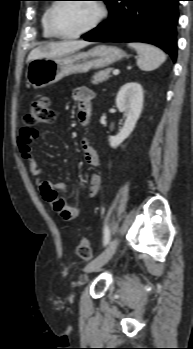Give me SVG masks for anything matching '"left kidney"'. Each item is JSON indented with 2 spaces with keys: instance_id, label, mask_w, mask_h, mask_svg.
Here are the masks:
<instances>
[{
  "instance_id": "obj_1",
  "label": "left kidney",
  "mask_w": 193,
  "mask_h": 349,
  "mask_svg": "<svg viewBox=\"0 0 193 349\" xmlns=\"http://www.w3.org/2000/svg\"><path fill=\"white\" fill-rule=\"evenodd\" d=\"M143 88L137 82L124 84L116 97L117 108L125 113L126 120L116 136L109 137L112 148L118 147L134 130L143 108Z\"/></svg>"
}]
</instances>
